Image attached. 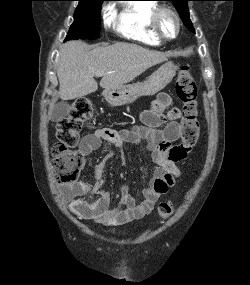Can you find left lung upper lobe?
<instances>
[{
    "mask_svg": "<svg viewBox=\"0 0 250 285\" xmlns=\"http://www.w3.org/2000/svg\"><path fill=\"white\" fill-rule=\"evenodd\" d=\"M172 1L173 5L180 14L181 19L185 26L193 33H195L193 25L190 21L189 10H188V1L190 0H168Z\"/></svg>",
    "mask_w": 250,
    "mask_h": 285,
    "instance_id": "left-lung-upper-lobe-1",
    "label": "left lung upper lobe"
}]
</instances>
